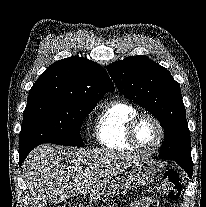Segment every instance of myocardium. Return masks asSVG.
I'll use <instances>...</instances> for the list:
<instances>
[{
	"label": "myocardium",
	"instance_id": "myocardium-1",
	"mask_svg": "<svg viewBox=\"0 0 206 207\" xmlns=\"http://www.w3.org/2000/svg\"><path fill=\"white\" fill-rule=\"evenodd\" d=\"M144 118L152 120L157 125L159 132H160L159 142L151 150L142 149L138 145L137 140H136V136H135L136 127H137L138 123ZM126 139H127L128 144L136 152H138L141 155L149 156V155H153V154L157 153L162 148V146L165 142V139H166V132H165L164 125L162 124L160 119L157 118L155 115L150 114V113H137L135 116H133L130 119V121L128 122V124L126 126Z\"/></svg>",
	"mask_w": 206,
	"mask_h": 207
}]
</instances>
